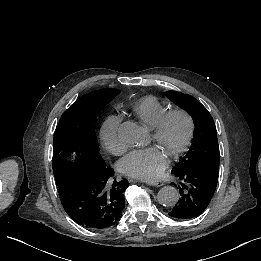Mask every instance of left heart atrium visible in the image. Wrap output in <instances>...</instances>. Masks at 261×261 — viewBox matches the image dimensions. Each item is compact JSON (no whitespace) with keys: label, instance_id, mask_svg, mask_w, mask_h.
<instances>
[{"label":"left heart atrium","instance_id":"obj_1","mask_svg":"<svg viewBox=\"0 0 261 261\" xmlns=\"http://www.w3.org/2000/svg\"><path fill=\"white\" fill-rule=\"evenodd\" d=\"M167 157L159 146L135 148L119 162V170L132 178L151 181L162 176Z\"/></svg>","mask_w":261,"mask_h":261}]
</instances>
